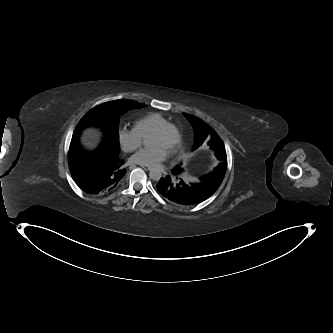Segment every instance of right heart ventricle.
<instances>
[{"mask_svg":"<svg viewBox=\"0 0 333 333\" xmlns=\"http://www.w3.org/2000/svg\"><path fill=\"white\" fill-rule=\"evenodd\" d=\"M170 120L159 113H149L135 121L134 127L142 135L146 137L159 127L170 124Z\"/></svg>","mask_w":333,"mask_h":333,"instance_id":"right-heart-ventricle-1","label":"right heart ventricle"}]
</instances>
